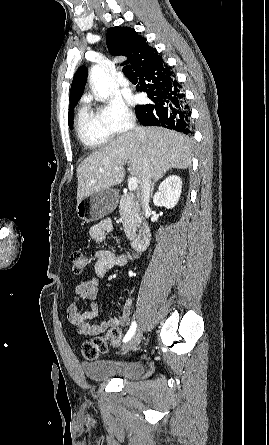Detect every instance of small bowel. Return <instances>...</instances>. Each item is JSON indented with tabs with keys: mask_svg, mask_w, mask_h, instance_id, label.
<instances>
[{
	"mask_svg": "<svg viewBox=\"0 0 269 445\" xmlns=\"http://www.w3.org/2000/svg\"><path fill=\"white\" fill-rule=\"evenodd\" d=\"M113 229L110 220H103L90 228V235L96 241H103ZM94 265L88 273V278L80 280L74 288V300L67 309V317L77 331L84 336H96L103 332L119 330V327L127 326L130 320L131 300L128 298L124 303L121 315L101 321L98 324L91 322L97 318L99 309L95 303L99 286L105 274L112 268L126 263L128 256L118 255L115 252L102 249L94 255ZM85 302L84 306L80 303Z\"/></svg>",
	"mask_w": 269,
	"mask_h": 445,
	"instance_id": "c3829d8e",
	"label": "small bowel"
}]
</instances>
